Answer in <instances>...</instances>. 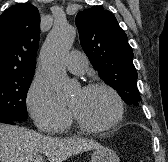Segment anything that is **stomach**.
Returning <instances> with one entry per match:
<instances>
[{
    "label": "stomach",
    "instance_id": "1",
    "mask_svg": "<svg viewBox=\"0 0 168 162\" xmlns=\"http://www.w3.org/2000/svg\"><path fill=\"white\" fill-rule=\"evenodd\" d=\"M91 162H119V158L112 149L101 147L93 152Z\"/></svg>",
    "mask_w": 168,
    "mask_h": 162
}]
</instances>
